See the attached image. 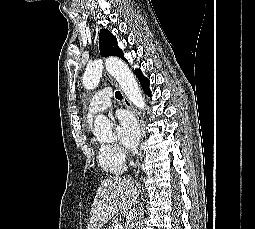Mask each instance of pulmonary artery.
Wrapping results in <instances>:
<instances>
[{
	"label": "pulmonary artery",
	"mask_w": 255,
	"mask_h": 229,
	"mask_svg": "<svg viewBox=\"0 0 255 229\" xmlns=\"http://www.w3.org/2000/svg\"><path fill=\"white\" fill-rule=\"evenodd\" d=\"M112 90L109 87L97 91L91 98L88 107V118H93L96 114L108 109L111 106L110 97Z\"/></svg>",
	"instance_id": "obj_1"
}]
</instances>
